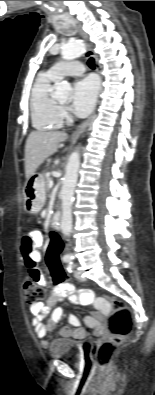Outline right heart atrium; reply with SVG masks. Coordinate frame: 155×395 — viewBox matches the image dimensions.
<instances>
[{
  "label": "right heart atrium",
  "instance_id": "d8ad5b80",
  "mask_svg": "<svg viewBox=\"0 0 155 395\" xmlns=\"http://www.w3.org/2000/svg\"><path fill=\"white\" fill-rule=\"evenodd\" d=\"M60 116L62 119L67 118L68 114L64 108H60Z\"/></svg>",
  "mask_w": 155,
  "mask_h": 395
}]
</instances>
